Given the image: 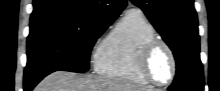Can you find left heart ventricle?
Returning <instances> with one entry per match:
<instances>
[{
  "label": "left heart ventricle",
  "instance_id": "left-heart-ventricle-1",
  "mask_svg": "<svg viewBox=\"0 0 220 91\" xmlns=\"http://www.w3.org/2000/svg\"><path fill=\"white\" fill-rule=\"evenodd\" d=\"M149 71L154 79L159 82H166L171 74V60L167 51L157 48L149 60Z\"/></svg>",
  "mask_w": 220,
  "mask_h": 91
}]
</instances>
